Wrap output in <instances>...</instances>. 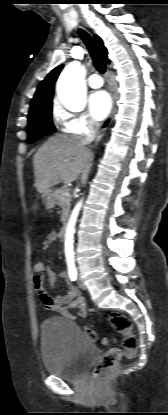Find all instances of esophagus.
I'll return each instance as SVG.
<instances>
[{
	"label": "esophagus",
	"mask_w": 168,
	"mask_h": 415,
	"mask_svg": "<svg viewBox=\"0 0 168 415\" xmlns=\"http://www.w3.org/2000/svg\"><path fill=\"white\" fill-rule=\"evenodd\" d=\"M111 97H112V109L110 115L107 117V119L103 122L101 129L97 135L96 142H98L103 136L105 131L107 130L109 124L111 123L112 117L115 112V102H116V93L113 85H111Z\"/></svg>",
	"instance_id": "obj_1"
}]
</instances>
